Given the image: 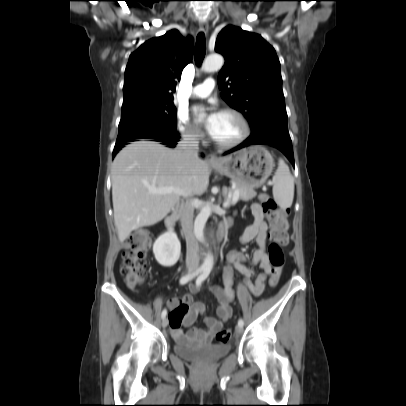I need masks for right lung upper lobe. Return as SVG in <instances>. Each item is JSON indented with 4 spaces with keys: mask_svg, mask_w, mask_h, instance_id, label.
<instances>
[{
    "mask_svg": "<svg viewBox=\"0 0 406 406\" xmlns=\"http://www.w3.org/2000/svg\"><path fill=\"white\" fill-rule=\"evenodd\" d=\"M193 41L173 29L133 52L125 70L122 107L143 102L172 103L177 79L191 62Z\"/></svg>",
    "mask_w": 406,
    "mask_h": 406,
    "instance_id": "cb5924a9",
    "label": "right lung upper lobe"
}]
</instances>
